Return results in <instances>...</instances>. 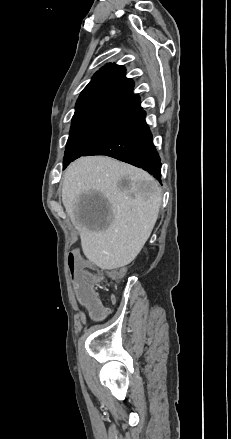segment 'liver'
Returning a JSON list of instances; mask_svg holds the SVG:
<instances>
[{"label":"liver","mask_w":231,"mask_h":439,"mask_svg":"<svg viewBox=\"0 0 231 439\" xmlns=\"http://www.w3.org/2000/svg\"><path fill=\"white\" fill-rule=\"evenodd\" d=\"M130 180L129 189L119 182ZM109 205L101 216L81 214L83 195ZM162 201L158 182L146 171L105 156L81 157L66 169L62 202L81 239L86 258L103 270L130 264L148 240Z\"/></svg>","instance_id":"liver-1"}]
</instances>
